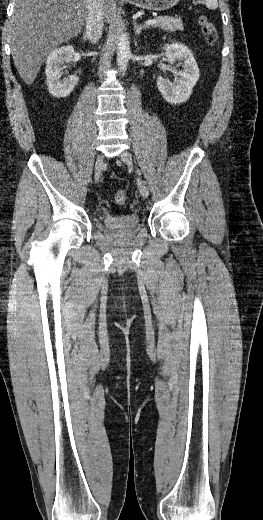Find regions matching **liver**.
Here are the masks:
<instances>
[{
  "label": "liver",
  "instance_id": "obj_1",
  "mask_svg": "<svg viewBox=\"0 0 263 520\" xmlns=\"http://www.w3.org/2000/svg\"><path fill=\"white\" fill-rule=\"evenodd\" d=\"M13 4L9 27L13 61L22 80L30 85L45 57L79 34L87 17V0H14ZM115 10L116 0H103L106 22L112 20Z\"/></svg>",
  "mask_w": 263,
  "mask_h": 520
}]
</instances>
